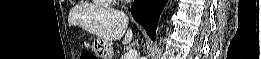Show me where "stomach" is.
I'll return each mask as SVG.
<instances>
[{
  "mask_svg": "<svg viewBox=\"0 0 261 59\" xmlns=\"http://www.w3.org/2000/svg\"><path fill=\"white\" fill-rule=\"evenodd\" d=\"M94 52L101 59H112L113 51H112V43L102 38H96L93 44Z\"/></svg>",
  "mask_w": 261,
  "mask_h": 59,
  "instance_id": "obj_1",
  "label": "stomach"
}]
</instances>
